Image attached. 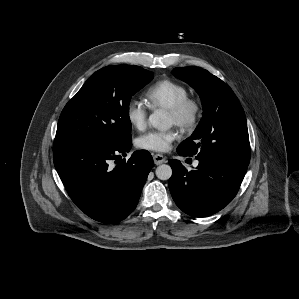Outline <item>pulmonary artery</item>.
<instances>
[{"label": "pulmonary artery", "mask_w": 299, "mask_h": 299, "mask_svg": "<svg viewBox=\"0 0 299 299\" xmlns=\"http://www.w3.org/2000/svg\"><path fill=\"white\" fill-rule=\"evenodd\" d=\"M194 165L197 166V165H198V162L196 161V162L194 163Z\"/></svg>", "instance_id": "pulmonary-artery-1"}]
</instances>
